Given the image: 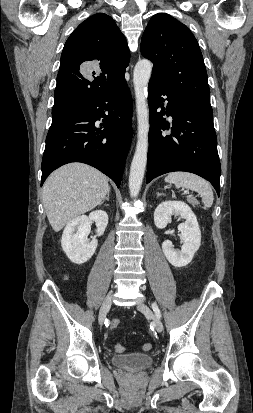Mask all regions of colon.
<instances>
[{
  "label": "colon",
  "instance_id": "colon-1",
  "mask_svg": "<svg viewBox=\"0 0 253 413\" xmlns=\"http://www.w3.org/2000/svg\"><path fill=\"white\" fill-rule=\"evenodd\" d=\"M119 326H120V320H118V319H113L110 322V329L111 330H116V329L119 328ZM151 348H152V345L150 343H145L143 345V350H145V351H149V350H151ZM115 349H116L117 352H123L124 351V347L122 345H116Z\"/></svg>",
  "mask_w": 253,
  "mask_h": 413
}]
</instances>
